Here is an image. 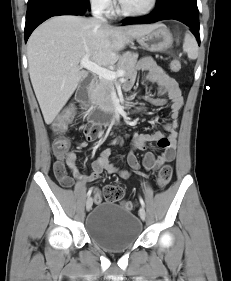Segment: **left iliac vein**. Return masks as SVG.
<instances>
[{
  "label": "left iliac vein",
  "mask_w": 231,
  "mask_h": 281,
  "mask_svg": "<svg viewBox=\"0 0 231 281\" xmlns=\"http://www.w3.org/2000/svg\"><path fill=\"white\" fill-rule=\"evenodd\" d=\"M139 216H140V218H141L143 221L145 220V218H146V212H145V210H144L143 207H141V208L139 209Z\"/></svg>",
  "instance_id": "1"
}]
</instances>
